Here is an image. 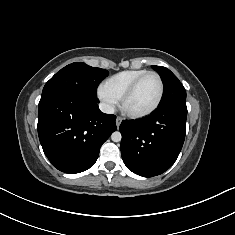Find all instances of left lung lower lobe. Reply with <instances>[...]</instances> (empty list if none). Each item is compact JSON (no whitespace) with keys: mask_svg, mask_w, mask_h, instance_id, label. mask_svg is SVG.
Returning a JSON list of instances; mask_svg holds the SVG:
<instances>
[{"mask_svg":"<svg viewBox=\"0 0 235 235\" xmlns=\"http://www.w3.org/2000/svg\"><path fill=\"white\" fill-rule=\"evenodd\" d=\"M186 117V101H172L147 117L122 121L121 155L127 168L143 177L169 169L184 143Z\"/></svg>","mask_w":235,"mask_h":235,"instance_id":"left-lung-lower-lobe-1","label":"left lung lower lobe"}]
</instances>
